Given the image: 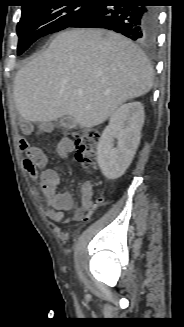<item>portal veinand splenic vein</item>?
Masks as SVG:
<instances>
[{"label":"portal vein and splenic vein","instance_id":"1","mask_svg":"<svg viewBox=\"0 0 184 327\" xmlns=\"http://www.w3.org/2000/svg\"><path fill=\"white\" fill-rule=\"evenodd\" d=\"M76 94L79 96L83 95V90H81V89L77 90Z\"/></svg>","mask_w":184,"mask_h":327}]
</instances>
